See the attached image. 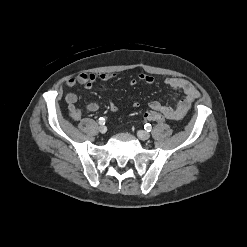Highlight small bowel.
I'll list each match as a JSON object with an SVG mask.
<instances>
[{
    "label": "small bowel",
    "instance_id": "1",
    "mask_svg": "<svg viewBox=\"0 0 247 247\" xmlns=\"http://www.w3.org/2000/svg\"><path fill=\"white\" fill-rule=\"evenodd\" d=\"M115 77L116 74L114 73H81L67 79L66 86L68 88H74L78 85H82L87 89H91L97 81H108ZM155 81L154 77L141 73L137 78L131 79L129 84L131 86H136L139 82L154 84ZM164 83L176 92H183L184 96L178 100L175 105L152 101L149 106L152 110L164 114L168 119L180 120L187 114L194 100L198 98L199 92L190 81L183 78L168 77L164 80ZM64 98L67 103L70 118L75 121L80 120L82 112L76 106L77 95L74 92H67ZM139 105L138 102L132 104L133 107H139ZM109 108L113 112L119 110V107L112 101L109 102ZM85 109L89 112H95L99 109V103L97 101H91L85 106Z\"/></svg>",
    "mask_w": 247,
    "mask_h": 247
}]
</instances>
